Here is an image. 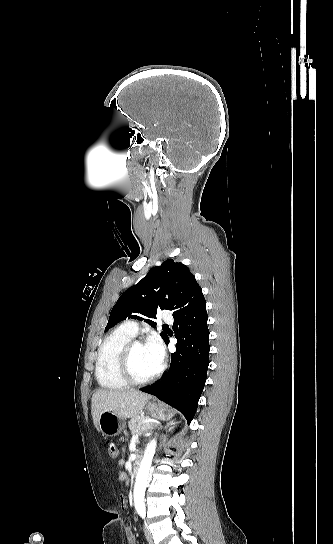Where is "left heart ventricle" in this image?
I'll return each instance as SVG.
<instances>
[{"mask_svg": "<svg viewBox=\"0 0 333 544\" xmlns=\"http://www.w3.org/2000/svg\"><path fill=\"white\" fill-rule=\"evenodd\" d=\"M131 369L133 375L138 379L148 378L159 369L155 365L147 345L139 344L134 347L131 356Z\"/></svg>", "mask_w": 333, "mask_h": 544, "instance_id": "b2bd125f", "label": "left heart ventricle"}]
</instances>
